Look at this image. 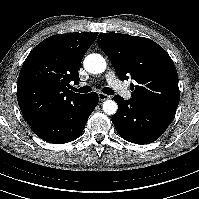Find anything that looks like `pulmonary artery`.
<instances>
[{
  "label": "pulmonary artery",
  "instance_id": "pulmonary-artery-1",
  "mask_svg": "<svg viewBox=\"0 0 199 199\" xmlns=\"http://www.w3.org/2000/svg\"><path fill=\"white\" fill-rule=\"evenodd\" d=\"M105 79L107 83L122 97L131 98V91L127 88V86L122 83L117 77L113 70H109L105 74Z\"/></svg>",
  "mask_w": 199,
  "mask_h": 199
}]
</instances>
